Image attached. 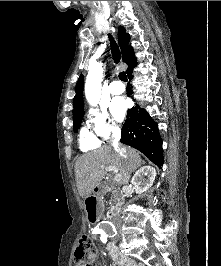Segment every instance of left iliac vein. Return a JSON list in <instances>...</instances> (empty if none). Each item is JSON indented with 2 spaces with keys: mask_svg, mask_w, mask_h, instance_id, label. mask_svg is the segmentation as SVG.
I'll return each instance as SVG.
<instances>
[{
  "mask_svg": "<svg viewBox=\"0 0 221 266\" xmlns=\"http://www.w3.org/2000/svg\"><path fill=\"white\" fill-rule=\"evenodd\" d=\"M112 250H117V248L114 246V247H112Z\"/></svg>",
  "mask_w": 221,
  "mask_h": 266,
  "instance_id": "obj_1",
  "label": "left iliac vein"
}]
</instances>
